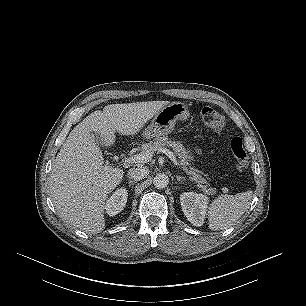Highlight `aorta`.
I'll list each match as a JSON object with an SVG mask.
<instances>
[{
  "instance_id": "1",
  "label": "aorta",
  "mask_w": 306,
  "mask_h": 306,
  "mask_svg": "<svg viewBox=\"0 0 306 306\" xmlns=\"http://www.w3.org/2000/svg\"><path fill=\"white\" fill-rule=\"evenodd\" d=\"M168 183H169V178L164 173L157 174L153 179V184L158 189H163L167 187Z\"/></svg>"
}]
</instances>
